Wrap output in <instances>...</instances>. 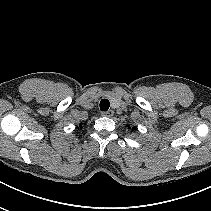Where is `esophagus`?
Returning a JSON list of instances; mask_svg holds the SVG:
<instances>
[{
    "label": "esophagus",
    "mask_w": 211,
    "mask_h": 211,
    "mask_svg": "<svg viewBox=\"0 0 211 211\" xmlns=\"http://www.w3.org/2000/svg\"><path fill=\"white\" fill-rule=\"evenodd\" d=\"M101 115L104 117H112L114 115V111L113 110L104 111L101 113Z\"/></svg>",
    "instance_id": "obj_1"
}]
</instances>
